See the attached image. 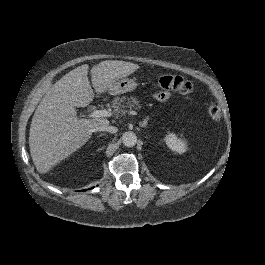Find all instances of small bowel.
<instances>
[{
    "mask_svg": "<svg viewBox=\"0 0 265 265\" xmlns=\"http://www.w3.org/2000/svg\"><path fill=\"white\" fill-rule=\"evenodd\" d=\"M171 93L168 91H162L155 94V98L159 101H164L170 98Z\"/></svg>",
    "mask_w": 265,
    "mask_h": 265,
    "instance_id": "c3829d8e",
    "label": "small bowel"
}]
</instances>
